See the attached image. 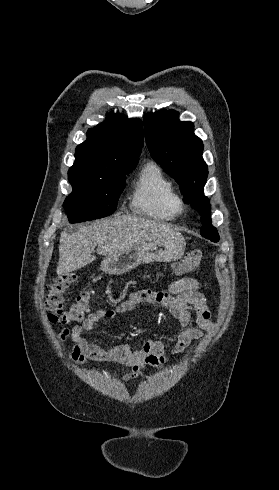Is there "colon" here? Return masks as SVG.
Wrapping results in <instances>:
<instances>
[{
	"label": "colon",
	"mask_w": 279,
	"mask_h": 490,
	"mask_svg": "<svg viewBox=\"0 0 279 490\" xmlns=\"http://www.w3.org/2000/svg\"><path fill=\"white\" fill-rule=\"evenodd\" d=\"M202 259L203 250L197 248L173 265L174 273L176 275L189 273L201 264ZM75 280L76 275L74 273H63L55 277L47 288L45 307L52 323L69 324L81 322L89 313L90 293L87 289L78 294L71 306H65L64 294Z\"/></svg>",
	"instance_id": "1"
}]
</instances>
